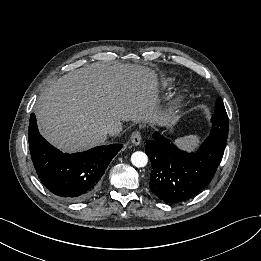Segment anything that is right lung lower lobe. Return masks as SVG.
Here are the masks:
<instances>
[{
	"mask_svg": "<svg viewBox=\"0 0 261 261\" xmlns=\"http://www.w3.org/2000/svg\"><path fill=\"white\" fill-rule=\"evenodd\" d=\"M31 158L44 186L69 201H83L99 188L101 178L121 144L99 146L82 153H62L38 132L31 114L28 130Z\"/></svg>",
	"mask_w": 261,
	"mask_h": 261,
	"instance_id": "98d812e1",
	"label": "right lung lower lobe"
}]
</instances>
